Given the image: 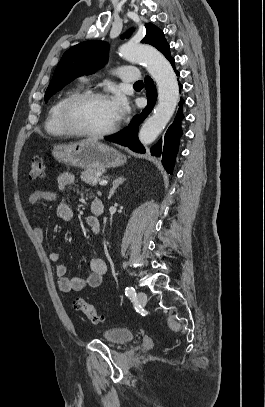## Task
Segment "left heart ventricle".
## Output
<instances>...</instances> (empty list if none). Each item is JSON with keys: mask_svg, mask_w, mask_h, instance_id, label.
Segmentation results:
<instances>
[{"mask_svg": "<svg viewBox=\"0 0 265 407\" xmlns=\"http://www.w3.org/2000/svg\"><path fill=\"white\" fill-rule=\"evenodd\" d=\"M78 125L88 131H103L116 123L107 99L92 100L75 111Z\"/></svg>", "mask_w": 265, "mask_h": 407, "instance_id": "obj_1", "label": "left heart ventricle"}]
</instances>
